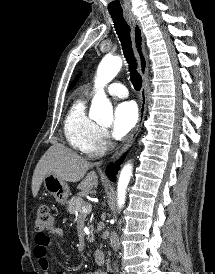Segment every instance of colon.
<instances>
[{
	"label": "colon",
	"mask_w": 215,
	"mask_h": 274,
	"mask_svg": "<svg viewBox=\"0 0 215 274\" xmlns=\"http://www.w3.org/2000/svg\"><path fill=\"white\" fill-rule=\"evenodd\" d=\"M54 225V218L49 206L41 204L37 208V217L35 220V230L38 233H44L46 230H50Z\"/></svg>",
	"instance_id": "colon-1"
}]
</instances>
